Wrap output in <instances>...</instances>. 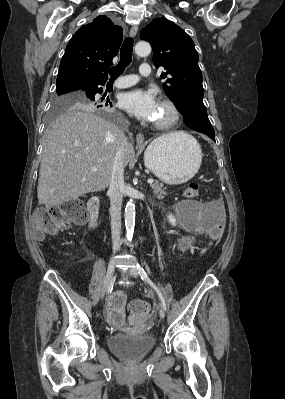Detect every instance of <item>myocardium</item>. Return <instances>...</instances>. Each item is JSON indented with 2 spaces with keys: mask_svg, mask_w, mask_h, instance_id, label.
Here are the masks:
<instances>
[{
  "mask_svg": "<svg viewBox=\"0 0 285 399\" xmlns=\"http://www.w3.org/2000/svg\"><path fill=\"white\" fill-rule=\"evenodd\" d=\"M159 104L167 107L170 111V118L167 121L164 122H153V127L157 128V129H169L171 127H173L180 118V110L178 108V106L176 105V103L174 101H172L169 98H162L159 101Z\"/></svg>",
  "mask_w": 285,
  "mask_h": 399,
  "instance_id": "obj_1",
  "label": "myocardium"
}]
</instances>
